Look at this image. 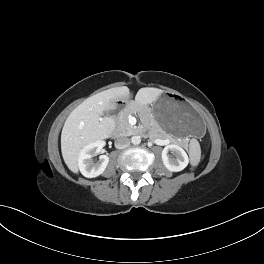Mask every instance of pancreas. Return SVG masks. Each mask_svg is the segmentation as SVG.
I'll list each match as a JSON object with an SVG mask.
<instances>
[{"label":"pancreas","instance_id":"cf45deb5","mask_svg":"<svg viewBox=\"0 0 264 264\" xmlns=\"http://www.w3.org/2000/svg\"><path fill=\"white\" fill-rule=\"evenodd\" d=\"M137 111L135 104L129 105L124 111H122L116 118L117 129L124 134H132L135 131V127L128 122L130 114H134ZM154 137L159 136L157 133H153Z\"/></svg>","mask_w":264,"mask_h":264}]
</instances>
